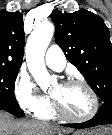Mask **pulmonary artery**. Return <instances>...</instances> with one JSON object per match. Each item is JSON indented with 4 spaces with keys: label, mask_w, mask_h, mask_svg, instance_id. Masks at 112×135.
<instances>
[{
    "label": "pulmonary artery",
    "mask_w": 112,
    "mask_h": 135,
    "mask_svg": "<svg viewBox=\"0 0 112 135\" xmlns=\"http://www.w3.org/2000/svg\"><path fill=\"white\" fill-rule=\"evenodd\" d=\"M47 66L55 71H61L66 65V58L63 50L56 44H52L45 55Z\"/></svg>",
    "instance_id": "1"
}]
</instances>
